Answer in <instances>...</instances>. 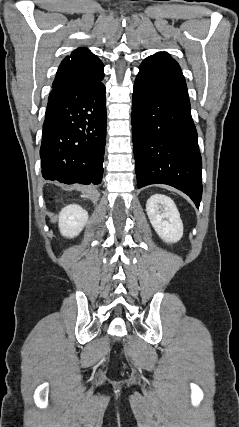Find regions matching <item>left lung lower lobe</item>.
<instances>
[{"label": "left lung lower lobe", "instance_id": "obj_1", "mask_svg": "<svg viewBox=\"0 0 239 427\" xmlns=\"http://www.w3.org/2000/svg\"><path fill=\"white\" fill-rule=\"evenodd\" d=\"M132 134L138 188L167 184L199 207L202 161L181 73L142 62L133 91Z\"/></svg>", "mask_w": 239, "mask_h": 427}]
</instances>
